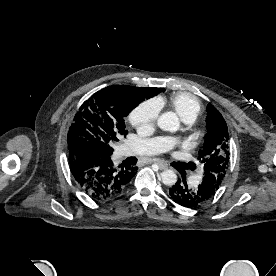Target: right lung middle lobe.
I'll return each instance as SVG.
<instances>
[{"instance_id":"obj_1","label":"right lung middle lobe","mask_w":276,"mask_h":276,"mask_svg":"<svg viewBox=\"0 0 276 276\" xmlns=\"http://www.w3.org/2000/svg\"><path fill=\"white\" fill-rule=\"evenodd\" d=\"M164 91L113 85L94 93L76 113L68 132V149L87 147L99 156L109 157L112 144L127 135L124 117L144 99Z\"/></svg>"}]
</instances>
